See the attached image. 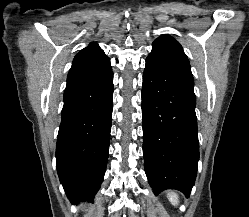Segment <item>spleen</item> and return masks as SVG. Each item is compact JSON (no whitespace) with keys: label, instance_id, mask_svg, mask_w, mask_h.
<instances>
[{"label":"spleen","instance_id":"obj_1","mask_svg":"<svg viewBox=\"0 0 249 217\" xmlns=\"http://www.w3.org/2000/svg\"><path fill=\"white\" fill-rule=\"evenodd\" d=\"M167 197L173 205H177L179 202L178 195L174 191H169Z\"/></svg>","mask_w":249,"mask_h":217}]
</instances>
